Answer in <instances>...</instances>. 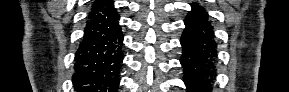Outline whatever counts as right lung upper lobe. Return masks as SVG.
Masks as SVG:
<instances>
[{
  "label": "right lung upper lobe",
  "mask_w": 289,
  "mask_h": 92,
  "mask_svg": "<svg viewBox=\"0 0 289 92\" xmlns=\"http://www.w3.org/2000/svg\"><path fill=\"white\" fill-rule=\"evenodd\" d=\"M103 1H104V0H99V1H97L96 3L93 4L92 7H95V6H97V5L101 4V3H103Z\"/></svg>",
  "instance_id": "obj_1"
}]
</instances>
